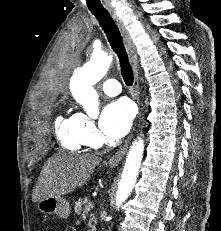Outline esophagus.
I'll use <instances>...</instances> for the list:
<instances>
[{"label": "esophagus", "instance_id": "esophagus-1", "mask_svg": "<svg viewBox=\"0 0 221 231\" xmlns=\"http://www.w3.org/2000/svg\"><path fill=\"white\" fill-rule=\"evenodd\" d=\"M110 14L112 16V18L114 19V21L116 22L121 36L123 38L127 53L129 55L130 58V62L132 65V69H133V75H134V83H133V97L136 100L139 108H140V88H139V73H138V58H137V54H136V50H135V46L134 43L125 27V25L123 24L122 20L118 17V15L116 14L115 11L110 10ZM140 115V111L138 116ZM133 137V134H131L128 139L126 140V142L124 143V145L109 159V165L110 166H116L119 164V162L123 159V157L125 156L129 143L131 141Z\"/></svg>", "mask_w": 221, "mask_h": 231}]
</instances>
